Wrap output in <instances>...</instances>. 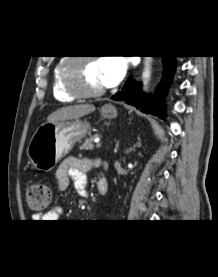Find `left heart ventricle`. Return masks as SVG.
<instances>
[{"mask_svg": "<svg viewBox=\"0 0 218 277\" xmlns=\"http://www.w3.org/2000/svg\"><path fill=\"white\" fill-rule=\"evenodd\" d=\"M80 80L82 87L88 91L104 87L97 61H88L81 67Z\"/></svg>", "mask_w": 218, "mask_h": 277, "instance_id": "left-heart-ventricle-1", "label": "left heart ventricle"}]
</instances>
